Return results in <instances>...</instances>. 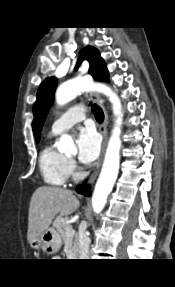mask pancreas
<instances>
[{"instance_id":"1","label":"pancreas","mask_w":175,"mask_h":287,"mask_svg":"<svg viewBox=\"0 0 175 287\" xmlns=\"http://www.w3.org/2000/svg\"><path fill=\"white\" fill-rule=\"evenodd\" d=\"M53 227L56 229L58 233L61 234V237L64 241L68 239V236L66 234V231L69 229H72L69 224H67L63 218L57 217L54 222H53ZM70 238H74L73 241V246H72V251L76 253L78 251V237L74 233L73 235L70 236Z\"/></svg>"}]
</instances>
